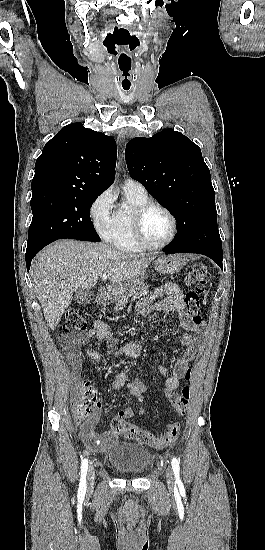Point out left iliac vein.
Segmentation results:
<instances>
[{"label":"left iliac vein","instance_id":"obj_1","mask_svg":"<svg viewBox=\"0 0 265 550\" xmlns=\"http://www.w3.org/2000/svg\"><path fill=\"white\" fill-rule=\"evenodd\" d=\"M166 478H167V482L169 485L173 486L174 485V480H175V477H174V472L171 468H167L166 470Z\"/></svg>","mask_w":265,"mask_h":550}]
</instances>
